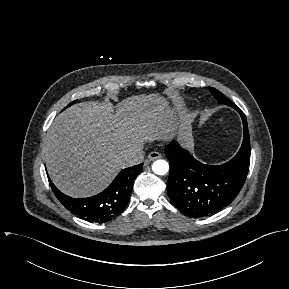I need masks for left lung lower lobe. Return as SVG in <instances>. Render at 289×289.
I'll return each mask as SVG.
<instances>
[{
	"mask_svg": "<svg viewBox=\"0 0 289 289\" xmlns=\"http://www.w3.org/2000/svg\"><path fill=\"white\" fill-rule=\"evenodd\" d=\"M243 122L244 138L236 156L229 162L205 165L173 141L165 147L170 159L167 192L172 203L184 214L202 217L230 204L240 192L250 164V140L245 114L236 109Z\"/></svg>",
	"mask_w": 289,
	"mask_h": 289,
	"instance_id": "left-lung-lower-lobe-1",
	"label": "left lung lower lobe"
}]
</instances>
